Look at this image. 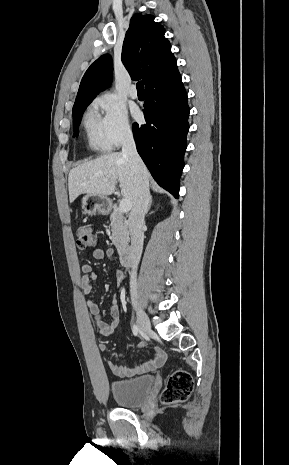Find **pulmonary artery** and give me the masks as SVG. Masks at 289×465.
<instances>
[{
  "label": "pulmonary artery",
  "instance_id": "obj_1",
  "mask_svg": "<svg viewBox=\"0 0 289 465\" xmlns=\"http://www.w3.org/2000/svg\"><path fill=\"white\" fill-rule=\"evenodd\" d=\"M129 95L132 99L138 98V92L135 85H132L129 89Z\"/></svg>",
  "mask_w": 289,
  "mask_h": 465
}]
</instances>
